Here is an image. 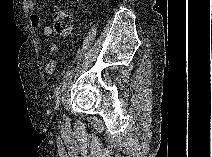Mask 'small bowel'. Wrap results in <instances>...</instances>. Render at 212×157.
Instances as JSON below:
<instances>
[{
    "label": "small bowel",
    "instance_id": "c3829d8e",
    "mask_svg": "<svg viewBox=\"0 0 212 157\" xmlns=\"http://www.w3.org/2000/svg\"><path fill=\"white\" fill-rule=\"evenodd\" d=\"M38 3H39V0H26V1H24V7H25L26 10L31 11V10H34L36 8ZM30 23H31V26L33 28H35V29L39 28L41 26L40 16L38 14H32L30 16ZM42 33H43V36L45 37L46 40H51L53 30L50 26L43 27ZM49 50L52 53L57 52V50H58L57 44L55 42H51L50 45H49ZM55 68H56L55 60L48 61V63L46 64V67H45L46 74L48 76L53 75Z\"/></svg>",
    "mask_w": 212,
    "mask_h": 157
}]
</instances>
